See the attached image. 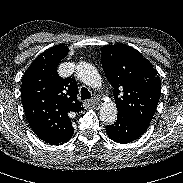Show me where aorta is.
Segmentation results:
<instances>
[{
    "mask_svg": "<svg viewBox=\"0 0 183 183\" xmlns=\"http://www.w3.org/2000/svg\"><path fill=\"white\" fill-rule=\"evenodd\" d=\"M76 76L84 84L92 88L101 86V76L98 70L90 63L80 62L76 66ZM117 119V108L114 102H104L100 108V120L112 124Z\"/></svg>",
    "mask_w": 183,
    "mask_h": 183,
    "instance_id": "aorta-1",
    "label": "aorta"
}]
</instances>
